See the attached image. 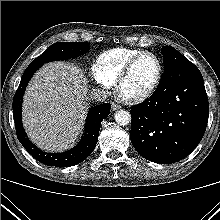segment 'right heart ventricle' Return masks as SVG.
<instances>
[{"label":"right heart ventricle","mask_w":220,"mask_h":220,"mask_svg":"<svg viewBox=\"0 0 220 220\" xmlns=\"http://www.w3.org/2000/svg\"><path fill=\"white\" fill-rule=\"evenodd\" d=\"M142 52L140 49L118 47L107 50L99 55L95 65L96 73L109 85L115 80L127 62L136 54Z\"/></svg>","instance_id":"1"}]
</instances>
